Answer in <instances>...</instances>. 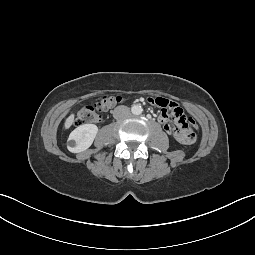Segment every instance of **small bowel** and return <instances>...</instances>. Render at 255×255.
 Returning <instances> with one entry per match:
<instances>
[{
	"mask_svg": "<svg viewBox=\"0 0 255 255\" xmlns=\"http://www.w3.org/2000/svg\"><path fill=\"white\" fill-rule=\"evenodd\" d=\"M146 104L155 110H162L158 120L170 138L179 140L184 145H192L195 142L196 134L186 122L184 111L178 103L165 97H148Z\"/></svg>",
	"mask_w": 255,
	"mask_h": 255,
	"instance_id": "1",
	"label": "small bowel"
}]
</instances>
